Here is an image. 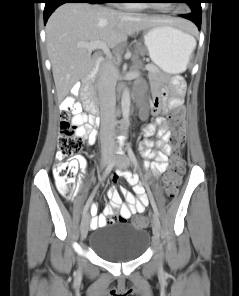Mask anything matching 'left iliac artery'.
Listing matches in <instances>:
<instances>
[{
    "label": "left iliac artery",
    "mask_w": 239,
    "mask_h": 296,
    "mask_svg": "<svg viewBox=\"0 0 239 296\" xmlns=\"http://www.w3.org/2000/svg\"><path fill=\"white\" fill-rule=\"evenodd\" d=\"M127 149H128V155H129L131 161L133 162L134 166L135 167H138V163H137V160L135 158V155H134V153H133V151H132V149H131V147L129 145L127 146ZM146 193H148V197H150L151 205L153 207V210L155 212V215L158 217L159 216V212H158V209H157L155 200H154V196H152V193L150 192V189L149 188H146Z\"/></svg>",
    "instance_id": "44dca946"
}]
</instances>
